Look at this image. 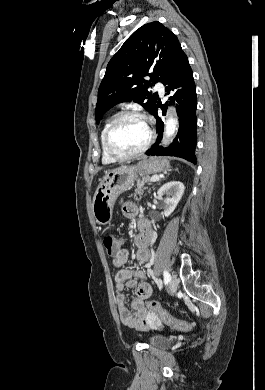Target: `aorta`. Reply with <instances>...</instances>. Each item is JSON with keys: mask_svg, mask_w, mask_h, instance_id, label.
Returning a JSON list of instances; mask_svg holds the SVG:
<instances>
[{"mask_svg": "<svg viewBox=\"0 0 265 390\" xmlns=\"http://www.w3.org/2000/svg\"><path fill=\"white\" fill-rule=\"evenodd\" d=\"M177 119L173 117L172 114L169 115V118L166 121L165 125V141L169 140L177 130Z\"/></svg>", "mask_w": 265, "mask_h": 390, "instance_id": "1", "label": "aorta"}]
</instances>
